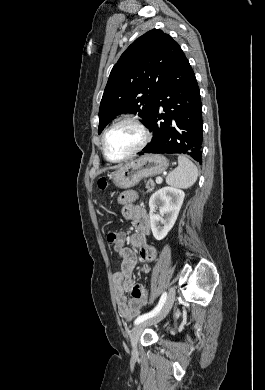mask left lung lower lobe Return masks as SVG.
<instances>
[{"instance_id":"left-lung-lower-lobe-1","label":"left lung lower lobe","mask_w":265,"mask_h":390,"mask_svg":"<svg viewBox=\"0 0 265 390\" xmlns=\"http://www.w3.org/2000/svg\"><path fill=\"white\" fill-rule=\"evenodd\" d=\"M160 108L164 113H160ZM147 128L153 132V138L140 155L186 154L202 163L200 91L184 53L156 94Z\"/></svg>"}]
</instances>
